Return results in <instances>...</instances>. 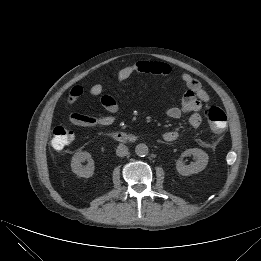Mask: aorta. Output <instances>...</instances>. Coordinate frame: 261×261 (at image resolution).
<instances>
[{"instance_id": "aorta-1", "label": "aorta", "mask_w": 261, "mask_h": 261, "mask_svg": "<svg viewBox=\"0 0 261 261\" xmlns=\"http://www.w3.org/2000/svg\"><path fill=\"white\" fill-rule=\"evenodd\" d=\"M135 153L139 157H144L148 154V146L144 143H140L135 147Z\"/></svg>"}]
</instances>
